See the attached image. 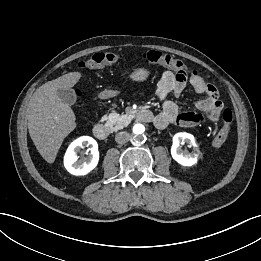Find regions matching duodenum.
<instances>
[{
    "label": "duodenum",
    "instance_id": "410a0bca",
    "mask_svg": "<svg viewBox=\"0 0 261 261\" xmlns=\"http://www.w3.org/2000/svg\"><path fill=\"white\" fill-rule=\"evenodd\" d=\"M136 120L139 122H151L153 114L149 110H139L136 113ZM110 130L108 125L103 122H97L93 126V134L97 139L104 140L109 136Z\"/></svg>",
    "mask_w": 261,
    "mask_h": 261
}]
</instances>
